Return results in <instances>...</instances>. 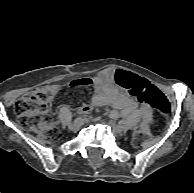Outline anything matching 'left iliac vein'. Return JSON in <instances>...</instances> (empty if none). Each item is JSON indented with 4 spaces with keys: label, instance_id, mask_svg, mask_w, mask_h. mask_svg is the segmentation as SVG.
Masks as SVG:
<instances>
[{
    "label": "left iliac vein",
    "instance_id": "1",
    "mask_svg": "<svg viewBox=\"0 0 194 193\" xmlns=\"http://www.w3.org/2000/svg\"><path fill=\"white\" fill-rule=\"evenodd\" d=\"M112 126L113 132L116 134H121L124 131V128L121 125L110 123Z\"/></svg>",
    "mask_w": 194,
    "mask_h": 193
}]
</instances>
